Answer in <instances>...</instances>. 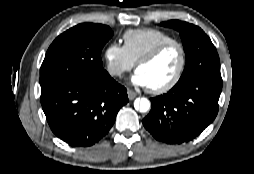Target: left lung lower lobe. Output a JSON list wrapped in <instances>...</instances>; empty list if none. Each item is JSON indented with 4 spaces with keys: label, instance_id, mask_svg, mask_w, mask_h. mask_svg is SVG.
I'll return each mask as SVG.
<instances>
[{
    "label": "left lung lower lobe",
    "instance_id": "0a47b994",
    "mask_svg": "<svg viewBox=\"0 0 254 174\" xmlns=\"http://www.w3.org/2000/svg\"><path fill=\"white\" fill-rule=\"evenodd\" d=\"M222 78L203 77L175 85L168 93L151 98L144 127L158 140L180 144L194 139L218 113Z\"/></svg>",
    "mask_w": 254,
    "mask_h": 174
}]
</instances>
